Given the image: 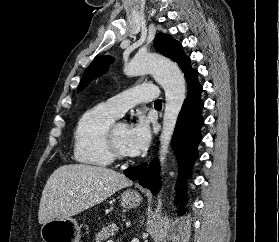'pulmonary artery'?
<instances>
[{"mask_svg": "<svg viewBox=\"0 0 279 242\" xmlns=\"http://www.w3.org/2000/svg\"><path fill=\"white\" fill-rule=\"evenodd\" d=\"M158 96L157 87L142 84L109 98L104 104L118 117L125 111L140 102L156 100Z\"/></svg>", "mask_w": 279, "mask_h": 242, "instance_id": "e3ab8cb5", "label": "pulmonary artery"}]
</instances>
